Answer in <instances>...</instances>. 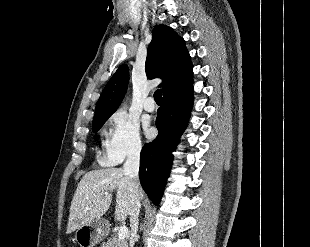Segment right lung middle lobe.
Instances as JSON below:
<instances>
[{"instance_id": "obj_1", "label": "right lung middle lobe", "mask_w": 310, "mask_h": 247, "mask_svg": "<svg viewBox=\"0 0 310 247\" xmlns=\"http://www.w3.org/2000/svg\"><path fill=\"white\" fill-rule=\"evenodd\" d=\"M109 117L100 118L92 123L93 132H97Z\"/></svg>"}]
</instances>
